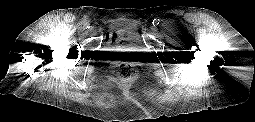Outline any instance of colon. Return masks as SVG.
Returning <instances> with one entry per match:
<instances>
[{
    "instance_id": "5ec220e1",
    "label": "colon",
    "mask_w": 255,
    "mask_h": 122,
    "mask_svg": "<svg viewBox=\"0 0 255 122\" xmlns=\"http://www.w3.org/2000/svg\"><path fill=\"white\" fill-rule=\"evenodd\" d=\"M119 77L124 81H134L138 77V71L136 67L131 63H122L118 67L117 71Z\"/></svg>"
}]
</instances>
